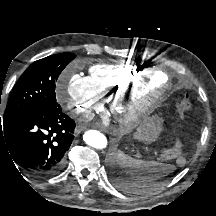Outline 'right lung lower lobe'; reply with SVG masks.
I'll list each match as a JSON object with an SVG mask.
<instances>
[{"mask_svg": "<svg viewBox=\"0 0 216 216\" xmlns=\"http://www.w3.org/2000/svg\"><path fill=\"white\" fill-rule=\"evenodd\" d=\"M74 128L60 106L33 110L0 122V152L33 176H53L64 166Z\"/></svg>", "mask_w": 216, "mask_h": 216, "instance_id": "98d812e1", "label": "right lung lower lobe"}]
</instances>
